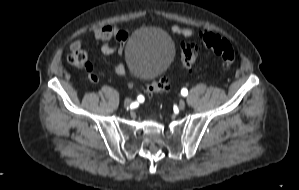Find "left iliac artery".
Returning <instances> with one entry per match:
<instances>
[{
  "label": "left iliac artery",
  "mask_w": 299,
  "mask_h": 190,
  "mask_svg": "<svg viewBox=\"0 0 299 190\" xmlns=\"http://www.w3.org/2000/svg\"><path fill=\"white\" fill-rule=\"evenodd\" d=\"M181 94H182V96H187L188 95V90L186 88H183L181 90Z\"/></svg>",
  "instance_id": "left-iliac-artery-1"
}]
</instances>
